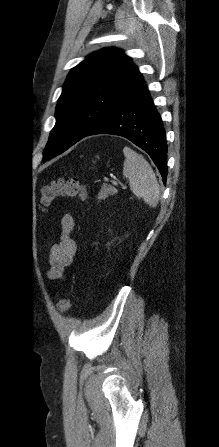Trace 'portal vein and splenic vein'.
<instances>
[{
    "label": "portal vein and splenic vein",
    "mask_w": 219,
    "mask_h": 447,
    "mask_svg": "<svg viewBox=\"0 0 219 447\" xmlns=\"http://www.w3.org/2000/svg\"><path fill=\"white\" fill-rule=\"evenodd\" d=\"M111 183H112V185H114V186H118V182H117V181L111 180Z\"/></svg>",
    "instance_id": "18ae733b"
}]
</instances>
